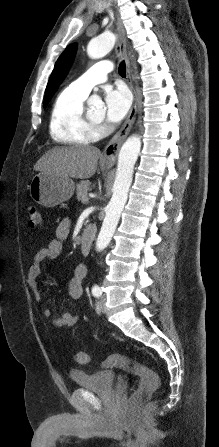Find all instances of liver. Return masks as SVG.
<instances>
[{"label": "liver", "mask_w": 219, "mask_h": 447, "mask_svg": "<svg viewBox=\"0 0 219 447\" xmlns=\"http://www.w3.org/2000/svg\"><path fill=\"white\" fill-rule=\"evenodd\" d=\"M101 151L93 146L55 147L35 164V171H47L62 177L87 179L94 175Z\"/></svg>", "instance_id": "obj_1"}]
</instances>
